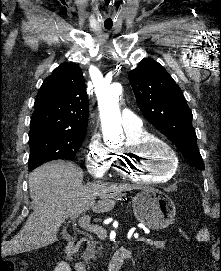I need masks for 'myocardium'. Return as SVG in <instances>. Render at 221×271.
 <instances>
[{"label": "myocardium", "instance_id": "f54148a6", "mask_svg": "<svg viewBox=\"0 0 221 271\" xmlns=\"http://www.w3.org/2000/svg\"><path fill=\"white\" fill-rule=\"evenodd\" d=\"M165 140L168 139L150 138L144 142L146 145H126V150H133L132 157L125 158L124 163L119 161L117 164L123 172H129L131 175H158L159 177L161 175H178L177 172L171 173L173 169L178 172L180 170L177 168L178 165H175L176 156H173L172 145H165ZM152 155H156L161 160L155 159Z\"/></svg>", "mask_w": 221, "mask_h": 271}]
</instances>
